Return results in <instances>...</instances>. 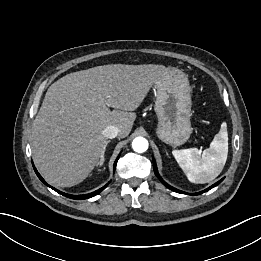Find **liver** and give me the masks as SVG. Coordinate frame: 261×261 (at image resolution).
<instances>
[{"mask_svg": "<svg viewBox=\"0 0 261 261\" xmlns=\"http://www.w3.org/2000/svg\"><path fill=\"white\" fill-rule=\"evenodd\" d=\"M168 72L163 65L109 64L54 82L32 124L33 158L45 180L71 187L86 179L104 156L109 142L104 129L117 126L119 137H127L133 111Z\"/></svg>", "mask_w": 261, "mask_h": 261, "instance_id": "liver-1", "label": "liver"}]
</instances>
